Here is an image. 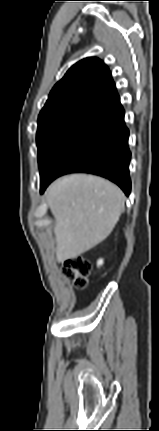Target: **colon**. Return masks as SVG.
<instances>
[{
	"label": "colon",
	"instance_id": "colon-1",
	"mask_svg": "<svg viewBox=\"0 0 159 431\" xmlns=\"http://www.w3.org/2000/svg\"><path fill=\"white\" fill-rule=\"evenodd\" d=\"M90 273L91 264L82 256H72L66 259L63 264L64 276L71 281L77 289H84L87 286V277Z\"/></svg>",
	"mask_w": 159,
	"mask_h": 431
}]
</instances>
